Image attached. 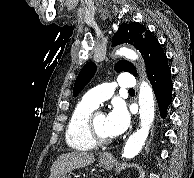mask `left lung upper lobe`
Listing matches in <instances>:
<instances>
[{"instance_id":"obj_1","label":"left lung upper lobe","mask_w":194,"mask_h":178,"mask_svg":"<svg viewBox=\"0 0 194 178\" xmlns=\"http://www.w3.org/2000/svg\"><path fill=\"white\" fill-rule=\"evenodd\" d=\"M121 43L132 44L143 55L147 74L156 66V64L165 56V53L159 44L158 40L152 35L149 30L137 22L122 24L112 38V46ZM116 72L126 71L137 75L135 67L128 61H118L115 65ZM96 71L94 63H87L81 69L76 78L73 95L77 96L81 90L88 84Z\"/></svg>"}]
</instances>
